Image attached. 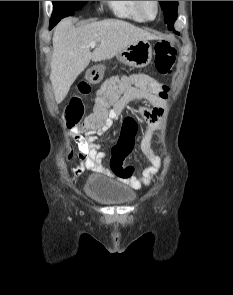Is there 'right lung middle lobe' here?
<instances>
[{
    "mask_svg": "<svg viewBox=\"0 0 233 295\" xmlns=\"http://www.w3.org/2000/svg\"><path fill=\"white\" fill-rule=\"evenodd\" d=\"M88 1H53L52 17L64 18L77 13Z\"/></svg>",
    "mask_w": 233,
    "mask_h": 295,
    "instance_id": "right-lung-middle-lobe-1",
    "label": "right lung middle lobe"
}]
</instances>
